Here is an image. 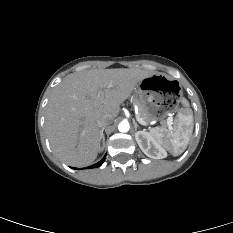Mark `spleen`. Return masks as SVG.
I'll return each instance as SVG.
<instances>
[{
    "label": "spleen",
    "instance_id": "obj_1",
    "mask_svg": "<svg viewBox=\"0 0 233 233\" xmlns=\"http://www.w3.org/2000/svg\"><path fill=\"white\" fill-rule=\"evenodd\" d=\"M183 108L178 112L173 127H155L150 134L155 141L164 146L173 156H178L187 148L193 133V112L186 99L182 100Z\"/></svg>",
    "mask_w": 233,
    "mask_h": 233
}]
</instances>
